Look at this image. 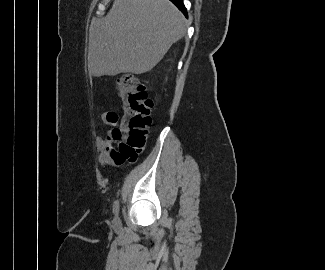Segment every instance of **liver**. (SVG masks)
Here are the masks:
<instances>
[{
  "label": "liver",
  "mask_w": 325,
  "mask_h": 270,
  "mask_svg": "<svg viewBox=\"0 0 325 270\" xmlns=\"http://www.w3.org/2000/svg\"><path fill=\"white\" fill-rule=\"evenodd\" d=\"M186 32V19L169 0H115L92 21L88 65L95 77L143 74Z\"/></svg>",
  "instance_id": "liver-1"
}]
</instances>
